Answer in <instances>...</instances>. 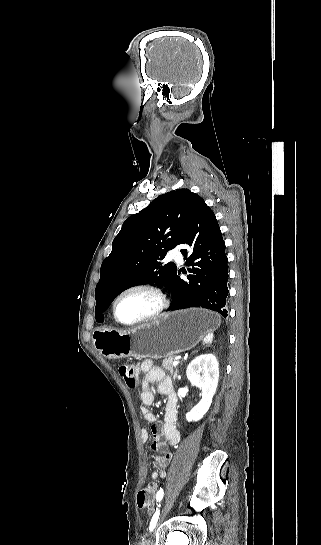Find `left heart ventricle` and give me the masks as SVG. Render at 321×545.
I'll return each mask as SVG.
<instances>
[{"label":"left heart ventricle","mask_w":321,"mask_h":545,"mask_svg":"<svg viewBox=\"0 0 321 545\" xmlns=\"http://www.w3.org/2000/svg\"><path fill=\"white\" fill-rule=\"evenodd\" d=\"M157 305L158 301L153 294L146 291H134L119 300L117 313L122 321L131 323L153 313Z\"/></svg>","instance_id":"obj_1"}]
</instances>
